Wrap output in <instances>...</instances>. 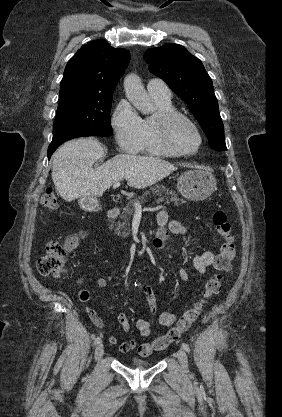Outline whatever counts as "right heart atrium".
Segmentation results:
<instances>
[{
    "instance_id": "obj_1",
    "label": "right heart atrium",
    "mask_w": 282,
    "mask_h": 417,
    "mask_svg": "<svg viewBox=\"0 0 282 417\" xmlns=\"http://www.w3.org/2000/svg\"><path fill=\"white\" fill-rule=\"evenodd\" d=\"M111 124L116 142L127 153H136L143 147L142 121L126 101H121L115 110Z\"/></svg>"
}]
</instances>
